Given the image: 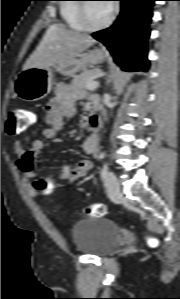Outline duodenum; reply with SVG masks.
Returning <instances> with one entry per match:
<instances>
[{"mask_svg":"<svg viewBox=\"0 0 180 299\" xmlns=\"http://www.w3.org/2000/svg\"><path fill=\"white\" fill-rule=\"evenodd\" d=\"M103 117H104V115L100 111H94L91 114L90 119H89V125L93 131L99 130V128L102 124V121H103Z\"/></svg>","mask_w":180,"mask_h":299,"instance_id":"duodenum-1","label":"duodenum"}]
</instances>
